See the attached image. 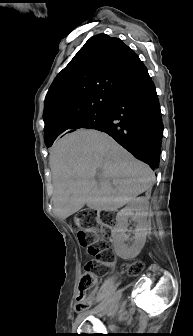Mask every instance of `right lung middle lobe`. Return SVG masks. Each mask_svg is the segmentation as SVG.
Here are the masks:
<instances>
[{
    "mask_svg": "<svg viewBox=\"0 0 193 336\" xmlns=\"http://www.w3.org/2000/svg\"><path fill=\"white\" fill-rule=\"evenodd\" d=\"M107 118L108 108L91 111L76 119L74 122V131L80 128L99 130L106 124ZM53 142L54 140L51 138L45 140L47 147H51Z\"/></svg>",
    "mask_w": 193,
    "mask_h": 336,
    "instance_id": "1",
    "label": "right lung middle lobe"
}]
</instances>
